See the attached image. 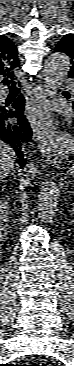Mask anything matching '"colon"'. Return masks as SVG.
<instances>
[{"mask_svg":"<svg viewBox=\"0 0 74 366\" xmlns=\"http://www.w3.org/2000/svg\"><path fill=\"white\" fill-rule=\"evenodd\" d=\"M28 366H44V365L41 364V363H33V364L28 365Z\"/></svg>","mask_w":74,"mask_h":366,"instance_id":"colon-1","label":"colon"}]
</instances>
